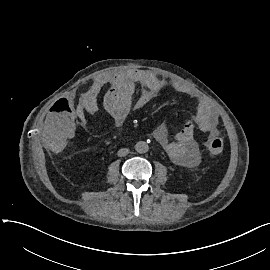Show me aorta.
Returning <instances> with one entry per match:
<instances>
[{
    "instance_id": "aorta-1",
    "label": "aorta",
    "mask_w": 270,
    "mask_h": 270,
    "mask_svg": "<svg viewBox=\"0 0 270 270\" xmlns=\"http://www.w3.org/2000/svg\"><path fill=\"white\" fill-rule=\"evenodd\" d=\"M135 150L140 154L146 153L149 151V145L145 141H139L135 145Z\"/></svg>"
}]
</instances>
